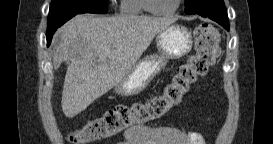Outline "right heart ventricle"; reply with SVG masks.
<instances>
[{
    "label": "right heart ventricle",
    "instance_id": "e07e8e85",
    "mask_svg": "<svg viewBox=\"0 0 273 144\" xmlns=\"http://www.w3.org/2000/svg\"><path fill=\"white\" fill-rule=\"evenodd\" d=\"M145 0H122L121 13L126 16H136L143 13Z\"/></svg>",
    "mask_w": 273,
    "mask_h": 144
}]
</instances>
